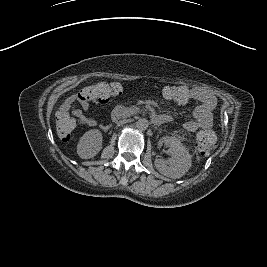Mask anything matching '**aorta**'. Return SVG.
I'll return each instance as SVG.
<instances>
[{
    "label": "aorta",
    "mask_w": 267,
    "mask_h": 267,
    "mask_svg": "<svg viewBox=\"0 0 267 267\" xmlns=\"http://www.w3.org/2000/svg\"><path fill=\"white\" fill-rule=\"evenodd\" d=\"M148 125V121L145 118H140L136 121V128L140 131L146 130Z\"/></svg>",
    "instance_id": "obj_1"
}]
</instances>
